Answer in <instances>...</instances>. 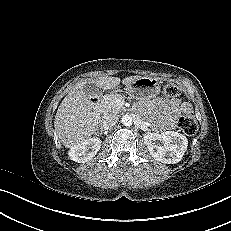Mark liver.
<instances>
[{"label":"liver","mask_w":231,"mask_h":231,"mask_svg":"<svg viewBox=\"0 0 231 231\" xmlns=\"http://www.w3.org/2000/svg\"><path fill=\"white\" fill-rule=\"evenodd\" d=\"M141 76H129L122 80L126 86ZM121 82L119 77L103 76L84 80L78 83L60 103L55 119V132L66 148H72L78 143L95 134L99 125V113L93 111V104L83 91L86 83H94L102 90H111Z\"/></svg>","instance_id":"obj_1"}]
</instances>
